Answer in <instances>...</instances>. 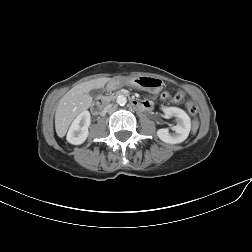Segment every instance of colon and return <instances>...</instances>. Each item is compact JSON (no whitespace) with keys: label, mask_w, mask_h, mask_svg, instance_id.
Listing matches in <instances>:
<instances>
[{"label":"colon","mask_w":252,"mask_h":252,"mask_svg":"<svg viewBox=\"0 0 252 252\" xmlns=\"http://www.w3.org/2000/svg\"><path fill=\"white\" fill-rule=\"evenodd\" d=\"M162 99L164 100H168V101H171V102H180L183 100V94L182 93H176L175 95H171L170 93L168 92H164L162 93L161 95ZM186 108L188 110V112L195 116L198 112V107L195 103H193L192 101H187L186 102ZM198 128V122L197 120H194L193 123H192V131L195 132Z\"/></svg>","instance_id":"obj_1"}]
</instances>
